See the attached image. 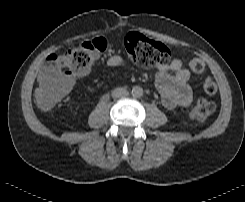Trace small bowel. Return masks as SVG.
<instances>
[{
  "mask_svg": "<svg viewBox=\"0 0 245 202\" xmlns=\"http://www.w3.org/2000/svg\"><path fill=\"white\" fill-rule=\"evenodd\" d=\"M123 63V58L118 54H113L107 59L110 67H118ZM47 75H41L37 80V93L42 87L44 79ZM190 72L184 68L180 59H173L168 64H164L158 68L155 76V85L160 93L161 103L166 109H174L176 107H186L192 101V90L189 85ZM70 89L74 80L69 81Z\"/></svg>",
  "mask_w": 245,
  "mask_h": 202,
  "instance_id": "small-bowel-1",
  "label": "small bowel"
}]
</instances>
